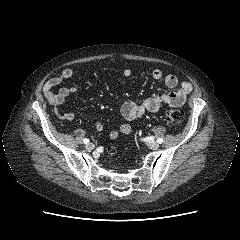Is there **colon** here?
Returning <instances> with one entry per match:
<instances>
[{
  "label": "colon",
  "mask_w": 240,
  "mask_h": 240,
  "mask_svg": "<svg viewBox=\"0 0 240 240\" xmlns=\"http://www.w3.org/2000/svg\"><path fill=\"white\" fill-rule=\"evenodd\" d=\"M165 119L170 124H179L183 119V112L180 109L168 108L165 113ZM108 154L112 157L115 154V148L112 146L109 147Z\"/></svg>",
  "instance_id": "1"
}]
</instances>
